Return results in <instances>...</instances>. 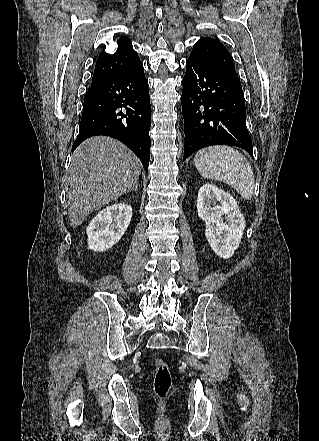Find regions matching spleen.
Returning <instances> with one entry per match:
<instances>
[{
	"label": "spleen",
	"mask_w": 319,
	"mask_h": 441,
	"mask_svg": "<svg viewBox=\"0 0 319 441\" xmlns=\"http://www.w3.org/2000/svg\"><path fill=\"white\" fill-rule=\"evenodd\" d=\"M194 163L204 178L227 183L244 200H251L253 171L249 161L238 150L226 145L203 148L196 153Z\"/></svg>",
	"instance_id": "3e777b00"
}]
</instances>
